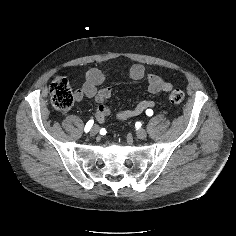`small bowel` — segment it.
Wrapping results in <instances>:
<instances>
[{
  "instance_id": "small-bowel-1",
  "label": "small bowel",
  "mask_w": 236,
  "mask_h": 236,
  "mask_svg": "<svg viewBox=\"0 0 236 236\" xmlns=\"http://www.w3.org/2000/svg\"><path fill=\"white\" fill-rule=\"evenodd\" d=\"M129 78L133 81L144 80L147 84V90L151 94L169 92L172 90V84L164 81L161 77L149 73L142 64H135L129 69ZM108 80V76L97 68H90L86 71L85 82L83 86L76 90L74 97L76 101H81L84 97L92 98L97 103L96 119L102 123L109 115L107 100L112 94L111 86H105L98 89ZM155 102L152 100H142L132 109L122 110L117 114V119L125 121L131 117L138 116L146 110L153 108Z\"/></svg>"
}]
</instances>
